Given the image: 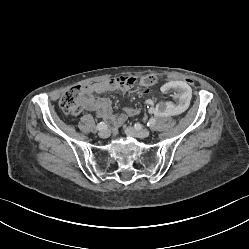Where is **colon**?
I'll use <instances>...</instances> for the list:
<instances>
[{
  "label": "colon",
  "instance_id": "colon-1",
  "mask_svg": "<svg viewBox=\"0 0 249 249\" xmlns=\"http://www.w3.org/2000/svg\"><path fill=\"white\" fill-rule=\"evenodd\" d=\"M138 81L145 86L152 87L156 82V79L153 76H140ZM148 93V89L143 87H137L135 89V95L140 97L142 94L146 95ZM83 98L84 92L80 86H73L67 89L60 98V106L61 108L68 114L76 115L80 113L83 107Z\"/></svg>",
  "mask_w": 249,
  "mask_h": 249
}]
</instances>
